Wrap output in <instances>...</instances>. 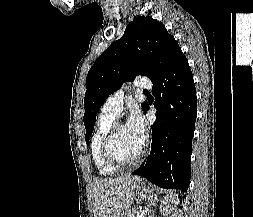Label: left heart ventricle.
Masks as SVG:
<instances>
[{
    "label": "left heart ventricle",
    "instance_id": "left-heart-ventricle-1",
    "mask_svg": "<svg viewBox=\"0 0 253 217\" xmlns=\"http://www.w3.org/2000/svg\"><path fill=\"white\" fill-rule=\"evenodd\" d=\"M144 139L135 134L127 125L121 126L113 141L114 154L123 161L133 159L141 150Z\"/></svg>",
    "mask_w": 253,
    "mask_h": 217
}]
</instances>
